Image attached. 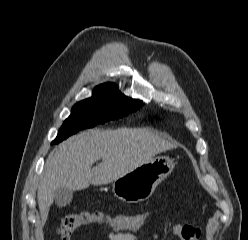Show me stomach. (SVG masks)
Wrapping results in <instances>:
<instances>
[{"label":"stomach","instance_id":"stomach-1","mask_svg":"<svg viewBox=\"0 0 248 240\" xmlns=\"http://www.w3.org/2000/svg\"><path fill=\"white\" fill-rule=\"evenodd\" d=\"M174 167V160L170 157H155L114 180L112 191L115 197L127 203L144 201L153 194L157 185L171 174Z\"/></svg>","mask_w":248,"mask_h":240}]
</instances>
